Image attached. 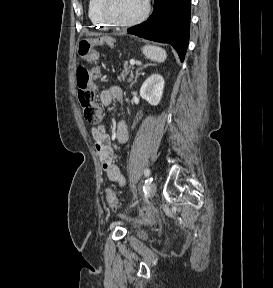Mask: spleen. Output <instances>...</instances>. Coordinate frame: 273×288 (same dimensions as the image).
Segmentation results:
<instances>
[{"label":"spleen","mask_w":273,"mask_h":288,"mask_svg":"<svg viewBox=\"0 0 273 288\" xmlns=\"http://www.w3.org/2000/svg\"><path fill=\"white\" fill-rule=\"evenodd\" d=\"M143 54L150 60L162 63L166 60L167 54L161 47L146 45L143 47Z\"/></svg>","instance_id":"1"}]
</instances>
